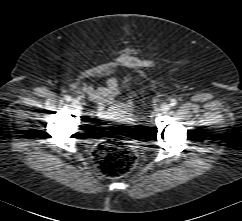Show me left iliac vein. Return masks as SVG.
Here are the masks:
<instances>
[{
  "instance_id": "left-iliac-vein-1",
  "label": "left iliac vein",
  "mask_w": 242,
  "mask_h": 221,
  "mask_svg": "<svg viewBox=\"0 0 242 221\" xmlns=\"http://www.w3.org/2000/svg\"><path fill=\"white\" fill-rule=\"evenodd\" d=\"M169 107H170V106H169L168 104H162V105L159 107V109L157 110V113H158V114H164L165 112L168 111Z\"/></svg>"
}]
</instances>
